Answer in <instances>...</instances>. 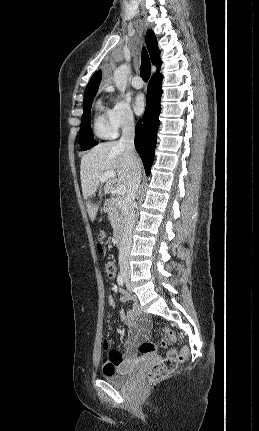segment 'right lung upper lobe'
Returning a JSON list of instances; mask_svg holds the SVG:
<instances>
[{
    "label": "right lung upper lobe",
    "instance_id": "cb5924a9",
    "mask_svg": "<svg viewBox=\"0 0 259 431\" xmlns=\"http://www.w3.org/2000/svg\"><path fill=\"white\" fill-rule=\"evenodd\" d=\"M146 44L150 53L151 62L153 65L157 67V71L160 70V66L162 61L160 59V51L157 45V38L152 30H148L146 34ZM102 73L101 71L95 72V74L91 77L84 94H88L91 92H97L100 81H101Z\"/></svg>",
    "mask_w": 259,
    "mask_h": 431
}]
</instances>
